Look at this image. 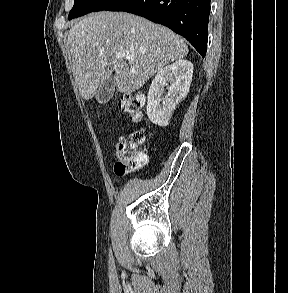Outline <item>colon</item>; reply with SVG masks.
Instances as JSON below:
<instances>
[{"label": "colon", "instance_id": "1", "mask_svg": "<svg viewBox=\"0 0 288 293\" xmlns=\"http://www.w3.org/2000/svg\"><path fill=\"white\" fill-rule=\"evenodd\" d=\"M143 94L129 93L122 97L120 101L121 110L131 119L139 120L144 106ZM143 131H136L128 138H120L115 150V173L123 176L127 173L136 171L144 166L146 158L144 153L139 150V146L144 143Z\"/></svg>", "mask_w": 288, "mask_h": 293}]
</instances>
